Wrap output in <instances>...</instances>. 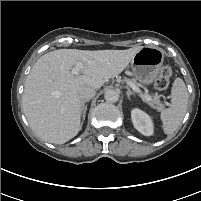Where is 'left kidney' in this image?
<instances>
[{
    "mask_svg": "<svg viewBox=\"0 0 201 201\" xmlns=\"http://www.w3.org/2000/svg\"><path fill=\"white\" fill-rule=\"evenodd\" d=\"M131 118L134 127L143 135L150 136L153 134L154 126L150 116L141 109L134 108L131 111Z\"/></svg>",
    "mask_w": 201,
    "mask_h": 201,
    "instance_id": "obj_1",
    "label": "left kidney"
}]
</instances>
